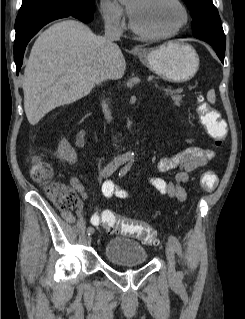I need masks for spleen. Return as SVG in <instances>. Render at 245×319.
I'll return each mask as SVG.
<instances>
[{"label":"spleen","instance_id":"3e777b00","mask_svg":"<svg viewBox=\"0 0 245 319\" xmlns=\"http://www.w3.org/2000/svg\"><path fill=\"white\" fill-rule=\"evenodd\" d=\"M207 100L211 103L214 104L216 100V95L214 89H211L207 93Z\"/></svg>","mask_w":245,"mask_h":319}]
</instances>
